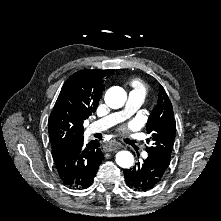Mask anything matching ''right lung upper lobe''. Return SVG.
<instances>
[{"label":"right lung upper lobe","mask_w":221,"mask_h":221,"mask_svg":"<svg viewBox=\"0 0 221 221\" xmlns=\"http://www.w3.org/2000/svg\"><path fill=\"white\" fill-rule=\"evenodd\" d=\"M114 70H81L64 83L48 120L52 156L83 138V122L95 112L104 81Z\"/></svg>","instance_id":"obj_1"}]
</instances>
